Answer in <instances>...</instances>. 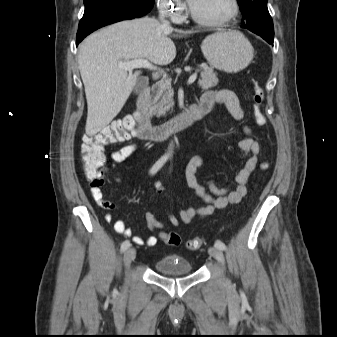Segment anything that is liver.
<instances>
[{
    "instance_id": "1",
    "label": "liver",
    "mask_w": 337,
    "mask_h": 337,
    "mask_svg": "<svg viewBox=\"0 0 337 337\" xmlns=\"http://www.w3.org/2000/svg\"><path fill=\"white\" fill-rule=\"evenodd\" d=\"M171 34L172 28L143 17L110 25L80 44L78 65L88 106V136L97 134L117 116L141 74L128 73L119 63L139 59L158 65L171 63L176 57Z\"/></svg>"
}]
</instances>
